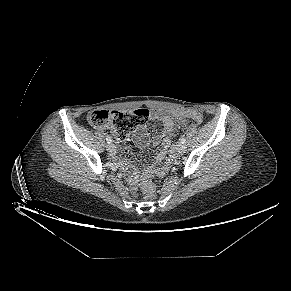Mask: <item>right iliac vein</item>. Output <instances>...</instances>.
Returning a JSON list of instances; mask_svg holds the SVG:
<instances>
[{"label":"right iliac vein","instance_id":"1","mask_svg":"<svg viewBox=\"0 0 291 291\" xmlns=\"http://www.w3.org/2000/svg\"><path fill=\"white\" fill-rule=\"evenodd\" d=\"M106 148L110 153L115 151V146L113 144L107 145Z\"/></svg>","mask_w":291,"mask_h":291}]
</instances>
